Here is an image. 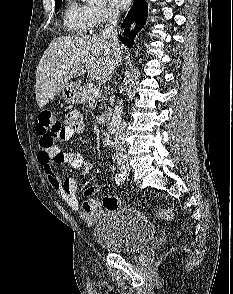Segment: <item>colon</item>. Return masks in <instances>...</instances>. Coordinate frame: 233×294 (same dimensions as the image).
<instances>
[{
    "label": "colon",
    "instance_id": "5ec220e1",
    "mask_svg": "<svg viewBox=\"0 0 233 294\" xmlns=\"http://www.w3.org/2000/svg\"><path fill=\"white\" fill-rule=\"evenodd\" d=\"M63 131L62 120L52 110L44 109L40 112L36 124V133L39 136V145L42 151L52 149ZM102 204L107 210H116L120 207V203L115 197L104 198ZM158 215L164 220L174 218V212L169 208H160Z\"/></svg>",
    "mask_w": 233,
    "mask_h": 294
}]
</instances>
